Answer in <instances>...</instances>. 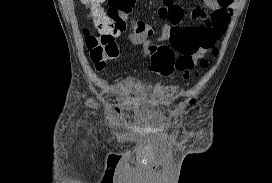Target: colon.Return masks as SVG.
I'll use <instances>...</instances> for the list:
<instances>
[{
  "label": "colon",
  "mask_w": 272,
  "mask_h": 183,
  "mask_svg": "<svg viewBox=\"0 0 272 183\" xmlns=\"http://www.w3.org/2000/svg\"><path fill=\"white\" fill-rule=\"evenodd\" d=\"M87 17L94 32L85 30V42L92 62L97 69H102L106 61L118 55L115 36L123 32L127 18L135 6L136 0H108V8L103 10L102 0H82ZM151 70L163 76L171 75L177 67L174 49L169 45H150L145 52ZM209 60L205 57L197 61L200 68L208 67ZM185 77L189 73L185 72Z\"/></svg>",
  "instance_id": "5ec220e1"
}]
</instances>
